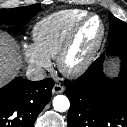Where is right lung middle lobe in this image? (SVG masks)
I'll return each instance as SVG.
<instances>
[{"mask_svg":"<svg viewBox=\"0 0 127 127\" xmlns=\"http://www.w3.org/2000/svg\"><path fill=\"white\" fill-rule=\"evenodd\" d=\"M41 11L39 4L12 9H0V24L25 25Z\"/></svg>","mask_w":127,"mask_h":127,"instance_id":"dd1d6c3e","label":"right lung middle lobe"}]
</instances>
